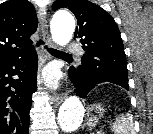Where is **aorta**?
I'll use <instances>...</instances> for the list:
<instances>
[{
  "mask_svg": "<svg viewBox=\"0 0 153 134\" xmlns=\"http://www.w3.org/2000/svg\"><path fill=\"white\" fill-rule=\"evenodd\" d=\"M75 30L74 18L67 12L55 14L51 22L52 39L58 45H66L72 38ZM84 117V107L80 99L70 96L60 106L58 111V124L65 133L75 131Z\"/></svg>",
  "mask_w": 153,
  "mask_h": 134,
  "instance_id": "obj_1",
  "label": "aorta"
}]
</instances>
